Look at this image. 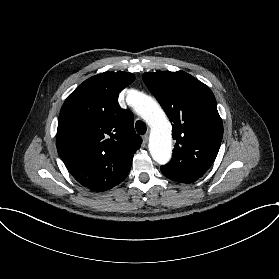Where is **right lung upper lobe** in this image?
Returning <instances> with one entry per match:
<instances>
[{"instance_id": "1", "label": "right lung upper lobe", "mask_w": 279, "mask_h": 279, "mask_svg": "<svg viewBox=\"0 0 279 279\" xmlns=\"http://www.w3.org/2000/svg\"><path fill=\"white\" fill-rule=\"evenodd\" d=\"M133 80V74L122 71L93 76L61 108L58 154L71 175L92 191L121 183L142 143L133 128L132 113L118 104L120 91Z\"/></svg>"}]
</instances>
